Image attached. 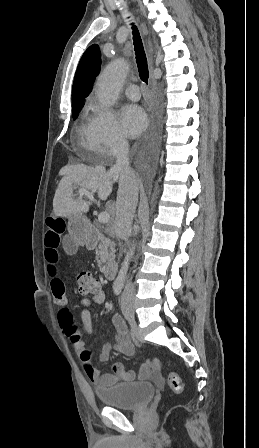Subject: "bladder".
Here are the masks:
<instances>
[{"mask_svg": "<svg viewBox=\"0 0 259 448\" xmlns=\"http://www.w3.org/2000/svg\"><path fill=\"white\" fill-rule=\"evenodd\" d=\"M155 388L151 383H120L95 390L97 399L106 406L135 410L145 406L153 397Z\"/></svg>", "mask_w": 259, "mask_h": 448, "instance_id": "31cf9c89", "label": "bladder"}]
</instances>
